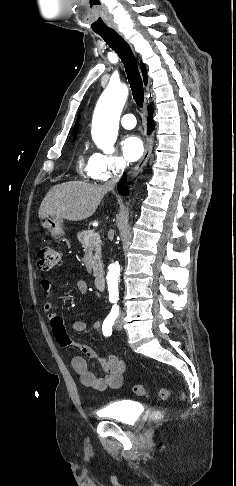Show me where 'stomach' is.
<instances>
[{
    "label": "stomach",
    "mask_w": 236,
    "mask_h": 486,
    "mask_svg": "<svg viewBox=\"0 0 236 486\" xmlns=\"http://www.w3.org/2000/svg\"><path fill=\"white\" fill-rule=\"evenodd\" d=\"M62 222V218L46 217L41 219L40 224L43 228L48 230L54 239H60L65 234L62 228Z\"/></svg>",
    "instance_id": "obj_1"
}]
</instances>
